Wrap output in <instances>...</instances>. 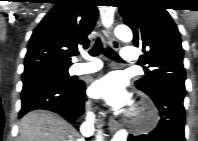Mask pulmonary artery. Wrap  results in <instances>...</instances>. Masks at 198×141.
Instances as JSON below:
<instances>
[{
	"label": "pulmonary artery",
	"mask_w": 198,
	"mask_h": 141,
	"mask_svg": "<svg viewBox=\"0 0 198 141\" xmlns=\"http://www.w3.org/2000/svg\"><path fill=\"white\" fill-rule=\"evenodd\" d=\"M122 56L126 61L135 63L139 58L138 49L133 46H127L123 49ZM83 57L91 60V62L76 63L72 65L69 69L70 74L72 75L87 74V73L95 72L101 68L102 64L98 60L91 58L87 54H83Z\"/></svg>",
	"instance_id": "e3ab8cb5"
}]
</instances>
